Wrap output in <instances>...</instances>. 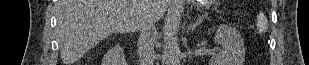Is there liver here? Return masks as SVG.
Wrapping results in <instances>:
<instances>
[{
	"label": "liver",
	"instance_id": "liver-1",
	"mask_svg": "<svg viewBox=\"0 0 309 65\" xmlns=\"http://www.w3.org/2000/svg\"><path fill=\"white\" fill-rule=\"evenodd\" d=\"M167 0H58L57 36L65 65H71L113 33L140 30L147 19L157 21Z\"/></svg>",
	"mask_w": 309,
	"mask_h": 65
}]
</instances>
